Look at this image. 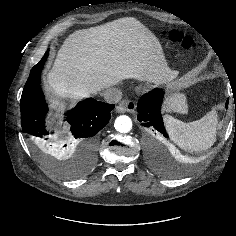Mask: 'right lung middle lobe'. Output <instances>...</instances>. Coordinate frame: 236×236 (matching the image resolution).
<instances>
[{
    "mask_svg": "<svg viewBox=\"0 0 236 236\" xmlns=\"http://www.w3.org/2000/svg\"><path fill=\"white\" fill-rule=\"evenodd\" d=\"M33 149L42 162V164L47 167L50 170H53L64 177H76L82 174L86 168L91 166L94 163V158L92 157L89 160H84L83 164L84 166L82 168H75L72 165L74 162H68V163H59L52 156L48 154L49 151H47L44 147H42L40 144L36 142H31Z\"/></svg>",
    "mask_w": 236,
    "mask_h": 236,
    "instance_id": "1",
    "label": "right lung middle lobe"
}]
</instances>
